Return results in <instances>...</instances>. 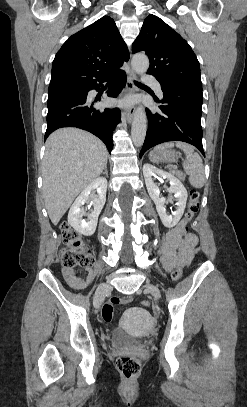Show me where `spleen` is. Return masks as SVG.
Instances as JSON below:
<instances>
[{
  "label": "spleen",
  "instance_id": "1",
  "mask_svg": "<svg viewBox=\"0 0 247 407\" xmlns=\"http://www.w3.org/2000/svg\"><path fill=\"white\" fill-rule=\"evenodd\" d=\"M178 147L183 150L186 155V160L183 162L184 171L189 175V183L194 188H202L205 183V171L201 157L194 152L192 146L183 142H166L155 147L154 150Z\"/></svg>",
  "mask_w": 247,
  "mask_h": 407
}]
</instances>
